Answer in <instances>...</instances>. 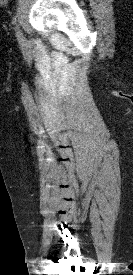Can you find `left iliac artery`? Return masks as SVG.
Here are the masks:
<instances>
[{"label":"left iliac artery","instance_id":"44dca946","mask_svg":"<svg viewBox=\"0 0 133 275\" xmlns=\"http://www.w3.org/2000/svg\"><path fill=\"white\" fill-rule=\"evenodd\" d=\"M16 23H17V16H15V17L13 18V20H12V24L16 25ZM16 35H17V37H18L19 42H24V37H23L21 31L16 32Z\"/></svg>","mask_w":133,"mask_h":275}]
</instances>
